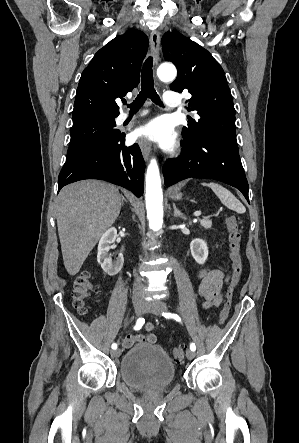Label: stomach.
<instances>
[{
    "label": "stomach",
    "instance_id": "0dacf381",
    "mask_svg": "<svg viewBox=\"0 0 299 443\" xmlns=\"http://www.w3.org/2000/svg\"><path fill=\"white\" fill-rule=\"evenodd\" d=\"M174 198L180 199L182 197V194L180 192H174L173 193Z\"/></svg>",
    "mask_w": 299,
    "mask_h": 443
}]
</instances>
